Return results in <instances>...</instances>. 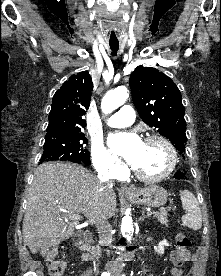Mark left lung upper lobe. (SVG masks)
<instances>
[{
	"instance_id": "5c2ea615",
	"label": "left lung upper lobe",
	"mask_w": 221,
	"mask_h": 276,
	"mask_svg": "<svg viewBox=\"0 0 221 276\" xmlns=\"http://www.w3.org/2000/svg\"><path fill=\"white\" fill-rule=\"evenodd\" d=\"M133 103L141 119L171 141L183 155L186 123L181 93L164 73L151 67H137L129 79Z\"/></svg>"
}]
</instances>
